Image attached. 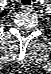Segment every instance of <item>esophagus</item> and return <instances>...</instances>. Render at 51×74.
I'll return each instance as SVG.
<instances>
[{
    "label": "esophagus",
    "mask_w": 51,
    "mask_h": 74,
    "mask_svg": "<svg viewBox=\"0 0 51 74\" xmlns=\"http://www.w3.org/2000/svg\"><path fill=\"white\" fill-rule=\"evenodd\" d=\"M22 8L24 9V11H28V10H30L29 5H27V6H23Z\"/></svg>",
    "instance_id": "1"
}]
</instances>
